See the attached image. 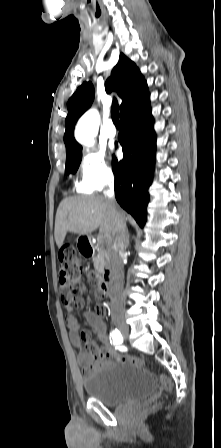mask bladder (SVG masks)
Here are the masks:
<instances>
[{"label": "bladder", "mask_w": 221, "mask_h": 448, "mask_svg": "<svg viewBox=\"0 0 221 448\" xmlns=\"http://www.w3.org/2000/svg\"><path fill=\"white\" fill-rule=\"evenodd\" d=\"M88 398L106 406H117L148 398L154 391L151 374L144 368L126 362L108 364L83 378Z\"/></svg>", "instance_id": "1"}]
</instances>
